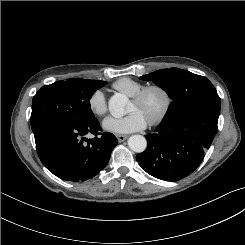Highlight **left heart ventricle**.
<instances>
[{
	"instance_id": "b2bd125f",
	"label": "left heart ventricle",
	"mask_w": 245,
	"mask_h": 245,
	"mask_svg": "<svg viewBox=\"0 0 245 245\" xmlns=\"http://www.w3.org/2000/svg\"><path fill=\"white\" fill-rule=\"evenodd\" d=\"M163 105V99L160 94L152 93L148 96L146 101L141 104L137 105L133 101L130 102L129 105V112L137 111L139 112L147 121L151 117L155 116L159 113Z\"/></svg>"
}]
</instances>
